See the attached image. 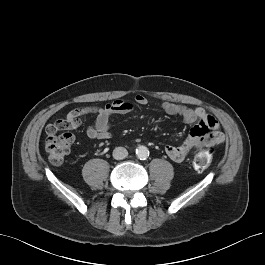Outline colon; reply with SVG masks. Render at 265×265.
I'll return each mask as SVG.
<instances>
[{"label": "colon", "instance_id": "5ec220e1", "mask_svg": "<svg viewBox=\"0 0 265 265\" xmlns=\"http://www.w3.org/2000/svg\"><path fill=\"white\" fill-rule=\"evenodd\" d=\"M71 129H73V121L68 117L59 119L46 128L47 140L45 150L52 163H62L69 154L70 146L74 140L73 135L67 132ZM212 158L213 153L211 149L202 148L194 156L193 167L198 171H204L210 167Z\"/></svg>", "mask_w": 265, "mask_h": 265}]
</instances>
